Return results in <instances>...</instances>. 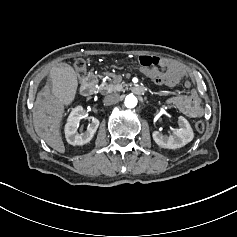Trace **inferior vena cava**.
Wrapping results in <instances>:
<instances>
[{
    "instance_id": "1",
    "label": "inferior vena cava",
    "mask_w": 237,
    "mask_h": 237,
    "mask_svg": "<svg viewBox=\"0 0 237 237\" xmlns=\"http://www.w3.org/2000/svg\"><path fill=\"white\" fill-rule=\"evenodd\" d=\"M119 100H120L119 94H110V95L105 96L103 102L105 105H112V104L118 103Z\"/></svg>"
}]
</instances>
